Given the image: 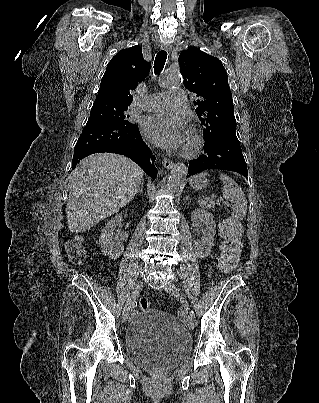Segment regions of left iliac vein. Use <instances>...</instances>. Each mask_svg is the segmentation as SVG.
I'll return each mask as SVG.
<instances>
[{
  "label": "left iliac vein",
  "instance_id": "left-iliac-vein-1",
  "mask_svg": "<svg viewBox=\"0 0 319 403\" xmlns=\"http://www.w3.org/2000/svg\"><path fill=\"white\" fill-rule=\"evenodd\" d=\"M165 291H166L168 294H170V295H172V296H174V297H176V298H179V296H180L177 287H176L175 284L172 283V282H169V283L165 286ZM184 305H185L186 307H188V304H187L186 302H184ZM187 326H188V328H189L190 330H193V329L195 328V319H194L191 315L188 316V319H187Z\"/></svg>",
  "mask_w": 319,
  "mask_h": 403
}]
</instances>
